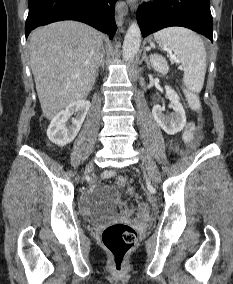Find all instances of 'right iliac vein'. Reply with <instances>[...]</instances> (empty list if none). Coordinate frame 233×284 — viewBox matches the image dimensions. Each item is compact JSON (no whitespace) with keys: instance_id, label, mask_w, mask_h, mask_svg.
I'll use <instances>...</instances> for the list:
<instances>
[{"instance_id":"right-iliac-vein-1","label":"right iliac vein","mask_w":233,"mask_h":284,"mask_svg":"<svg viewBox=\"0 0 233 284\" xmlns=\"http://www.w3.org/2000/svg\"><path fill=\"white\" fill-rule=\"evenodd\" d=\"M88 169H89V170H93V169H94V163H93V162H90V163H89ZM89 176H90V177H93V176H94V173H93V172H90V173H89V172H84L83 175L81 176V179L84 180V181H83V184H84V185H87V184H88V181H89V178H88V177H89Z\"/></svg>"}]
</instances>
